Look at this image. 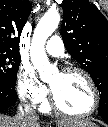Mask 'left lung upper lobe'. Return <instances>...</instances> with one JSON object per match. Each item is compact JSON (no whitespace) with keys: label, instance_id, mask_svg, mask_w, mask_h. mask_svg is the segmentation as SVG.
<instances>
[{"label":"left lung upper lobe","instance_id":"1","mask_svg":"<svg viewBox=\"0 0 108 127\" xmlns=\"http://www.w3.org/2000/svg\"><path fill=\"white\" fill-rule=\"evenodd\" d=\"M61 26L69 54L91 75L108 111V21L88 0H63Z\"/></svg>","mask_w":108,"mask_h":127}]
</instances>
